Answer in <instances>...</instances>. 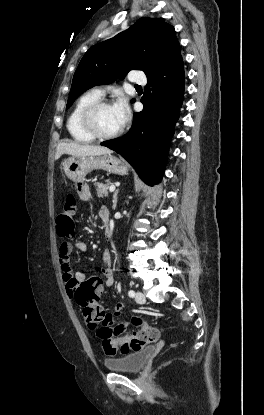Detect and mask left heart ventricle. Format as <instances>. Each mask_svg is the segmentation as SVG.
<instances>
[{
  "label": "left heart ventricle",
  "instance_id": "left-heart-ventricle-1",
  "mask_svg": "<svg viewBox=\"0 0 264 415\" xmlns=\"http://www.w3.org/2000/svg\"><path fill=\"white\" fill-rule=\"evenodd\" d=\"M95 122L98 130L102 134H111L117 131L122 125L112 105L101 108L95 116Z\"/></svg>",
  "mask_w": 264,
  "mask_h": 415
}]
</instances>
